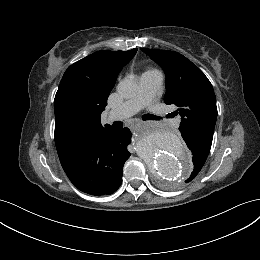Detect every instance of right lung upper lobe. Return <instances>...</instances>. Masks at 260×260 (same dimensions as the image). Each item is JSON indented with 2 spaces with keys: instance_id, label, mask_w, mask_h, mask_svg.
I'll use <instances>...</instances> for the list:
<instances>
[{
  "instance_id": "1",
  "label": "right lung upper lobe",
  "mask_w": 260,
  "mask_h": 260,
  "mask_svg": "<svg viewBox=\"0 0 260 260\" xmlns=\"http://www.w3.org/2000/svg\"><path fill=\"white\" fill-rule=\"evenodd\" d=\"M129 51H97L68 67L54 100L55 144L58 156L103 127L100 116L116 78L136 54Z\"/></svg>"
}]
</instances>
